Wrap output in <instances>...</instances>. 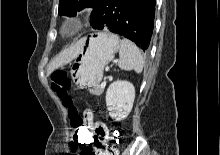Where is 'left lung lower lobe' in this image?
Returning <instances> with one entry per match:
<instances>
[{"instance_id":"1","label":"left lung lower lobe","mask_w":220,"mask_h":155,"mask_svg":"<svg viewBox=\"0 0 220 155\" xmlns=\"http://www.w3.org/2000/svg\"><path fill=\"white\" fill-rule=\"evenodd\" d=\"M154 16L155 0H99L90 24L94 29L125 36L145 51L153 33Z\"/></svg>"}]
</instances>
